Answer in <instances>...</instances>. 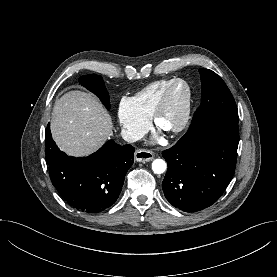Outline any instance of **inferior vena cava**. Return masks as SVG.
<instances>
[{"mask_svg": "<svg viewBox=\"0 0 277 277\" xmlns=\"http://www.w3.org/2000/svg\"><path fill=\"white\" fill-rule=\"evenodd\" d=\"M121 136L126 142H135L141 139V136L133 130L122 129Z\"/></svg>", "mask_w": 277, "mask_h": 277, "instance_id": "1", "label": "inferior vena cava"}]
</instances>
